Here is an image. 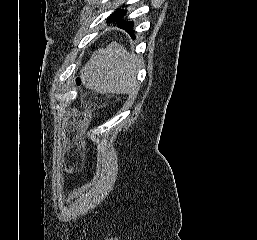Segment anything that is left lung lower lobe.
<instances>
[{
    "label": "left lung lower lobe",
    "mask_w": 257,
    "mask_h": 240,
    "mask_svg": "<svg viewBox=\"0 0 257 240\" xmlns=\"http://www.w3.org/2000/svg\"><path fill=\"white\" fill-rule=\"evenodd\" d=\"M123 7L124 6H122V8ZM125 15H126V10L118 8L110 15V17L107 19V22L108 23L116 22V24L120 28L127 31L132 36V38H135L133 33L134 23L132 21H128V19H124Z\"/></svg>",
    "instance_id": "left-lung-lower-lobe-1"
}]
</instances>
